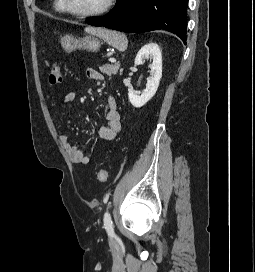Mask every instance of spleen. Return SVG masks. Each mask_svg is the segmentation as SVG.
I'll list each match as a JSON object with an SVG mask.
<instances>
[{
	"instance_id": "obj_1",
	"label": "spleen",
	"mask_w": 255,
	"mask_h": 272,
	"mask_svg": "<svg viewBox=\"0 0 255 272\" xmlns=\"http://www.w3.org/2000/svg\"><path fill=\"white\" fill-rule=\"evenodd\" d=\"M86 32L97 35L104 39L109 45L115 47L119 51H125L128 45V40L125 34L103 28H86Z\"/></svg>"
}]
</instances>
